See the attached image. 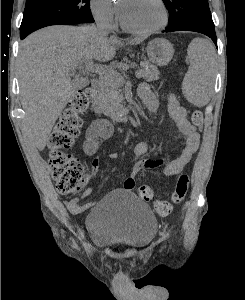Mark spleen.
<instances>
[{"instance_id": "spleen-1", "label": "spleen", "mask_w": 245, "mask_h": 300, "mask_svg": "<svg viewBox=\"0 0 245 300\" xmlns=\"http://www.w3.org/2000/svg\"><path fill=\"white\" fill-rule=\"evenodd\" d=\"M187 57L190 66L183 79L182 92L190 103L203 107L213 91L215 50L207 39L196 38L188 46Z\"/></svg>"}]
</instances>
